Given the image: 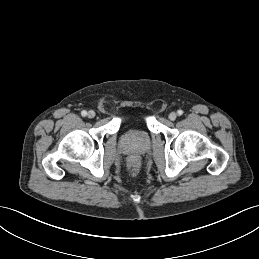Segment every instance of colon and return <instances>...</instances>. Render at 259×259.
Returning <instances> with one entry per match:
<instances>
[{
    "label": "colon",
    "mask_w": 259,
    "mask_h": 259,
    "mask_svg": "<svg viewBox=\"0 0 259 259\" xmlns=\"http://www.w3.org/2000/svg\"><path fill=\"white\" fill-rule=\"evenodd\" d=\"M128 166L132 172H136L140 167V160L137 157H131Z\"/></svg>",
    "instance_id": "obj_1"
}]
</instances>
